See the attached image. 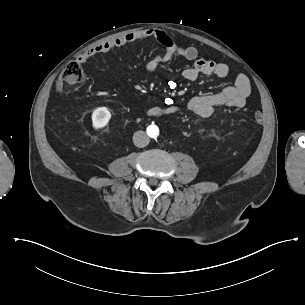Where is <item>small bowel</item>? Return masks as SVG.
Instances as JSON below:
<instances>
[{
    "label": "small bowel",
    "mask_w": 305,
    "mask_h": 305,
    "mask_svg": "<svg viewBox=\"0 0 305 305\" xmlns=\"http://www.w3.org/2000/svg\"><path fill=\"white\" fill-rule=\"evenodd\" d=\"M148 38H154L164 47L162 52L156 54L145 64V70L148 73L154 72L174 57H181L192 62V65L183 71V78L187 81H195L200 75H215L219 78H225L229 75V67L226 64L201 56L195 47L179 45L165 31L157 29L131 32L102 42L86 52H80L78 59L80 61L91 60L96 55ZM250 93L249 79L244 74H239L233 85L218 92L194 96L189 99L187 109L196 116L206 118L211 116L216 108L244 107ZM163 109L167 113L173 114L179 110V107L169 99L163 105Z\"/></svg>",
    "instance_id": "obj_1"
}]
</instances>
